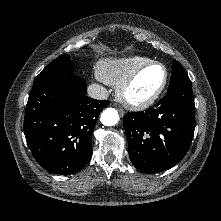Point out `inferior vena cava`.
Listing matches in <instances>:
<instances>
[{
	"label": "inferior vena cava",
	"instance_id": "obj_1",
	"mask_svg": "<svg viewBox=\"0 0 221 221\" xmlns=\"http://www.w3.org/2000/svg\"><path fill=\"white\" fill-rule=\"evenodd\" d=\"M88 96L98 100H105L109 94L105 87L99 84H91L87 89Z\"/></svg>",
	"mask_w": 221,
	"mask_h": 221
}]
</instances>
